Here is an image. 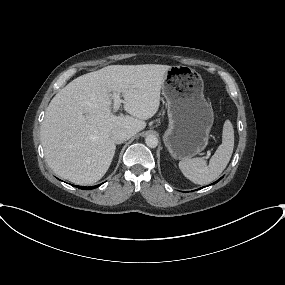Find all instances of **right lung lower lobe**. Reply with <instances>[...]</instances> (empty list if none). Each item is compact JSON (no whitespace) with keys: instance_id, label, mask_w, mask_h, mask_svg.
Segmentation results:
<instances>
[{"instance_id":"1","label":"right lung lower lobe","mask_w":285,"mask_h":285,"mask_svg":"<svg viewBox=\"0 0 285 285\" xmlns=\"http://www.w3.org/2000/svg\"><path fill=\"white\" fill-rule=\"evenodd\" d=\"M100 185H97V186H92V187H83V186H76L77 188H80V189H84V190H90V189H94L96 187H98Z\"/></svg>"}]
</instances>
